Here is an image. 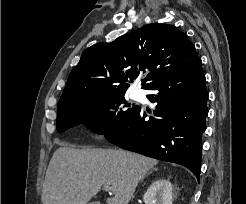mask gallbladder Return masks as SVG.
Returning <instances> with one entry per match:
<instances>
[{
	"label": "gallbladder",
	"instance_id": "bac80fb5",
	"mask_svg": "<svg viewBox=\"0 0 246 204\" xmlns=\"http://www.w3.org/2000/svg\"><path fill=\"white\" fill-rule=\"evenodd\" d=\"M89 204H100V203L97 201H94V202H90Z\"/></svg>",
	"mask_w": 246,
	"mask_h": 204
}]
</instances>
